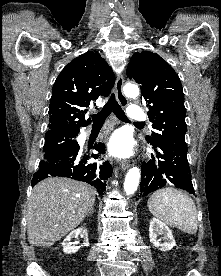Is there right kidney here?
<instances>
[{"mask_svg":"<svg viewBox=\"0 0 221 276\" xmlns=\"http://www.w3.org/2000/svg\"><path fill=\"white\" fill-rule=\"evenodd\" d=\"M78 236L84 239V246L89 245L87 229L81 227L69 233L64 239L62 243L64 253L72 254L76 253L79 250L80 247L73 245V243L71 242L73 238H78Z\"/></svg>","mask_w":221,"mask_h":276,"instance_id":"1","label":"right kidney"}]
</instances>
